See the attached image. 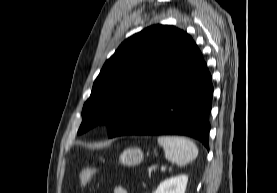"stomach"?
<instances>
[{"label":"stomach","instance_id":"obj_1","mask_svg":"<svg viewBox=\"0 0 277 193\" xmlns=\"http://www.w3.org/2000/svg\"><path fill=\"white\" fill-rule=\"evenodd\" d=\"M144 154L140 148H127L124 150L120 157L119 161L121 164L126 166H135L140 164L143 161Z\"/></svg>","mask_w":277,"mask_h":193}]
</instances>
